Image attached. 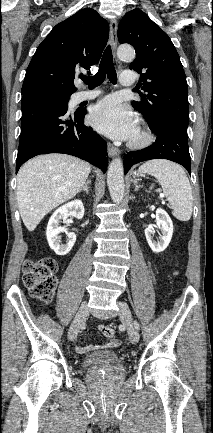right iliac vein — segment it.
I'll use <instances>...</instances> for the list:
<instances>
[{
    "instance_id": "63e3f726",
    "label": "right iliac vein",
    "mask_w": 213,
    "mask_h": 433,
    "mask_svg": "<svg viewBox=\"0 0 213 433\" xmlns=\"http://www.w3.org/2000/svg\"><path fill=\"white\" fill-rule=\"evenodd\" d=\"M88 314L89 309L87 304H82L69 328L68 337L70 340H74L77 337L80 327L87 319Z\"/></svg>"
}]
</instances>
